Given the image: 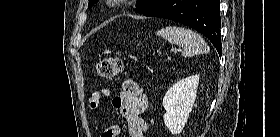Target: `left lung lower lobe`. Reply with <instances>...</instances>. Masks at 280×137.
<instances>
[{
	"instance_id": "left-lung-lower-lobe-1",
	"label": "left lung lower lobe",
	"mask_w": 280,
	"mask_h": 137,
	"mask_svg": "<svg viewBox=\"0 0 280 137\" xmlns=\"http://www.w3.org/2000/svg\"><path fill=\"white\" fill-rule=\"evenodd\" d=\"M219 0H162L145 16L161 17L190 26L206 36L221 55Z\"/></svg>"
}]
</instances>
